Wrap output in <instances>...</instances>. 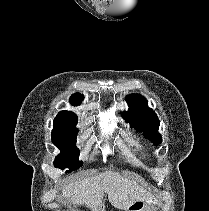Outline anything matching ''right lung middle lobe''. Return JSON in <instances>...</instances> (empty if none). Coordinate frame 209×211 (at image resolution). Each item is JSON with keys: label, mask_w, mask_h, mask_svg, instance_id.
<instances>
[{"label": "right lung middle lobe", "mask_w": 209, "mask_h": 211, "mask_svg": "<svg viewBox=\"0 0 209 211\" xmlns=\"http://www.w3.org/2000/svg\"><path fill=\"white\" fill-rule=\"evenodd\" d=\"M77 132L78 130L74 127H54L52 131V142L61 150V153L56 156L54 161L56 168H70L71 170H75L83 164L81 161H78L80 151L75 147Z\"/></svg>", "instance_id": "dd1d6c3e"}]
</instances>
